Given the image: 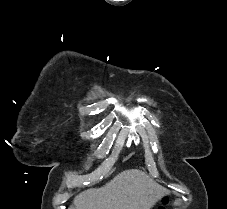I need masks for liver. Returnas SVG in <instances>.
<instances>
[{"instance_id": "obj_1", "label": "liver", "mask_w": 227, "mask_h": 209, "mask_svg": "<svg viewBox=\"0 0 227 209\" xmlns=\"http://www.w3.org/2000/svg\"><path fill=\"white\" fill-rule=\"evenodd\" d=\"M158 187L148 175L131 169L114 177L101 189H88L77 195L73 201L75 209H151L161 193H154Z\"/></svg>"}]
</instances>
